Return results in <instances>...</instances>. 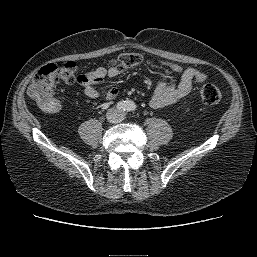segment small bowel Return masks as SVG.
Listing matches in <instances>:
<instances>
[{
	"label": "small bowel",
	"mask_w": 257,
	"mask_h": 257,
	"mask_svg": "<svg viewBox=\"0 0 257 257\" xmlns=\"http://www.w3.org/2000/svg\"><path fill=\"white\" fill-rule=\"evenodd\" d=\"M153 63V61H150V64ZM195 72V69H186L178 82L170 79L160 81L150 98V106L154 109H159L171 105L188 95L192 91L194 83L198 81ZM120 73L121 72L114 66H111L108 69L99 67L95 71L81 75L80 84L89 98L112 101L118 94L116 88L112 87L105 93H101L97 90L96 86L102 83L103 78L106 75L113 78L117 77Z\"/></svg>",
	"instance_id": "1"
}]
</instances>
